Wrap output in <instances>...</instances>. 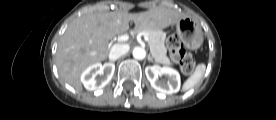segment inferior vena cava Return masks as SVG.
<instances>
[{
  "mask_svg": "<svg viewBox=\"0 0 276 120\" xmlns=\"http://www.w3.org/2000/svg\"><path fill=\"white\" fill-rule=\"evenodd\" d=\"M130 49V46L128 44H115L112 46L110 53H109V59L111 61H115L121 56L125 55Z\"/></svg>",
  "mask_w": 276,
  "mask_h": 120,
  "instance_id": "1",
  "label": "inferior vena cava"
}]
</instances>
